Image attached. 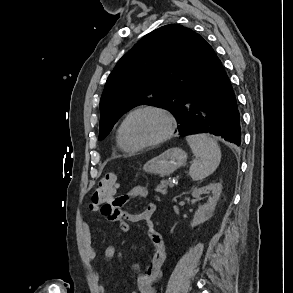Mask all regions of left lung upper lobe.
Instances as JSON below:
<instances>
[{
	"label": "left lung upper lobe",
	"instance_id": "5c2ea615",
	"mask_svg": "<svg viewBox=\"0 0 293 293\" xmlns=\"http://www.w3.org/2000/svg\"><path fill=\"white\" fill-rule=\"evenodd\" d=\"M213 52L202 36L179 24L145 35L106 81L99 140L124 113L139 105L165 107L179 117L183 99L205 78Z\"/></svg>",
	"mask_w": 293,
	"mask_h": 293
}]
</instances>
